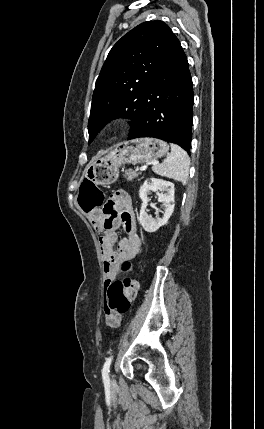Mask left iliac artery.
Instances as JSON below:
<instances>
[{
	"instance_id": "left-iliac-artery-1",
	"label": "left iliac artery",
	"mask_w": 264,
	"mask_h": 429,
	"mask_svg": "<svg viewBox=\"0 0 264 429\" xmlns=\"http://www.w3.org/2000/svg\"><path fill=\"white\" fill-rule=\"evenodd\" d=\"M113 360V356L109 357L106 362L104 363L103 369H102V378H103V382L105 384H109L110 379H109V372H110V365L111 362Z\"/></svg>"
}]
</instances>
